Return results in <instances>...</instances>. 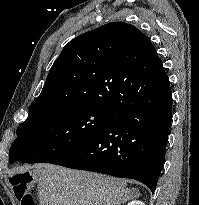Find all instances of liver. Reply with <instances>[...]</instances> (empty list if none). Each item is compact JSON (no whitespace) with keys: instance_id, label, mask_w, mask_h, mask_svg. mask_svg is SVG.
Returning a JSON list of instances; mask_svg holds the SVG:
<instances>
[{"instance_id":"1","label":"liver","mask_w":199,"mask_h":205,"mask_svg":"<svg viewBox=\"0 0 199 205\" xmlns=\"http://www.w3.org/2000/svg\"><path fill=\"white\" fill-rule=\"evenodd\" d=\"M40 205H120L138 196L126 181L53 164L35 167Z\"/></svg>"}]
</instances>
